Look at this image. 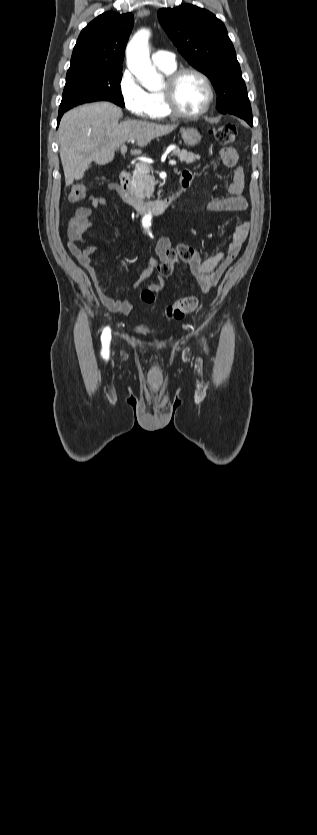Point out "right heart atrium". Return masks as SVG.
<instances>
[{
	"label": "right heart atrium",
	"instance_id": "right-heart-atrium-1",
	"mask_svg": "<svg viewBox=\"0 0 317 835\" xmlns=\"http://www.w3.org/2000/svg\"><path fill=\"white\" fill-rule=\"evenodd\" d=\"M118 89L122 101L130 113L144 119L152 117L149 94L142 88L130 70L125 69L121 73Z\"/></svg>",
	"mask_w": 317,
	"mask_h": 835
}]
</instances>
